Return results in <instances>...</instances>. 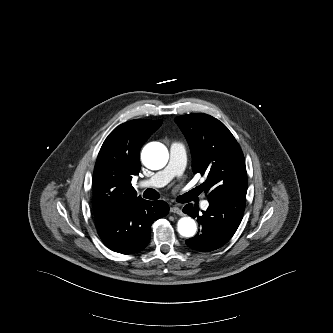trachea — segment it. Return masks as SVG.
<instances>
[{
    "mask_svg": "<svg viewBox=\"0 0 333 333\" xmlns=\"http://www.w3.org/2000/svg\"><path fill=\"white\" fill-rule=\"evenodd\" d=\"M149 190V189H148ZM151 190H153V189H151ZM153 193L156 195V196H158V194H157V192L155 191V190H153Z\"/></svg>",
    "mask_w": 333,
    "mask_h": 333,
    "instance_id": "1",
    "label": "trachea"
}]
</instances>
